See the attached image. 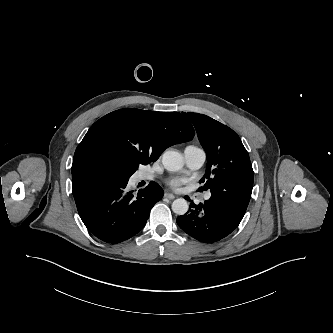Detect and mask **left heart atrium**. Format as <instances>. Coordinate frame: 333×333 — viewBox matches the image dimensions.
Returning <instances> with one entry per match:
<instances>
[{
	"label": "left heart atrium",
	"mask_w": 333,
	"mask_h": 333,
	"mask_svg": "<svg viewBox=\"0 0 333 333\" xmlns=\"http://www.w3.org/2000/svg\"><path fill=\"white\" fill-rule=\"evenodd\" d=\"M184 182V179L173 178L168 181V184L172 189L178 190Z\"/></svg>",
	"instance_id": "left-heart-atrium-1"
}]
</instances>
